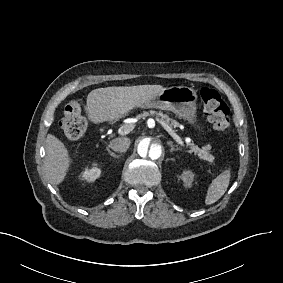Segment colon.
Segmentation results:
<instances>
[{
  "label": "colon",
  "mask_w": 283,
  "mask_h": 283,
  "mask_svg": "<svg viewBox=\"0 0 283 283\" xmlns=\"http://www.w3.org/2000/svg\"><path fill=\"white\" fill-rule=\"evenodd\" d=\"M200 97L201 108L207 114L213 128L220 133L228 132L230 128L229 109L218 91L210 87H202ZM61 126L70 141H76L85 134L88 129V121L78 104L70 103L65 107Z\"/></svg>",
  "instance_id": "obj_1"
}]
</instances>
